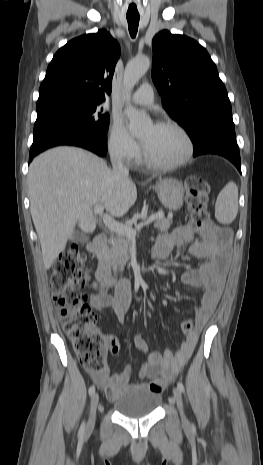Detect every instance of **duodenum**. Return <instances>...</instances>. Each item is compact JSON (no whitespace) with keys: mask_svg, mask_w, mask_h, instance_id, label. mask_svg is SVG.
I'll return each instance as SVG.
<instances>
[{"mask_svg":"<svg viewBox=\"0 0 263 465\" xmlns=\"http://www.w3.org/2000/svg\"><path fill=\"white\" fill-rule=\"evenodd\" d=\"M106 244L107 236L105 234L97 235L88 244V251L97 261V269L95 273L96 280L105 286L113 283L109 266L105 259Z\"/></svg>","mask_w":263,"mask_h":465,"instance_id":"duodenum-1","label":"duodenum"}]
</instances>
